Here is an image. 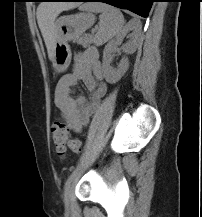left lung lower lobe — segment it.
<instances>
[{"instance_id": "0a47b994", "label": "left lung lower lobe", "mask_w": 202, "mask_h": 217, "mask_svg": "<svg viewBox=\"0 0 202 217\" xmlns=\"http://www.w3.org/2000/svg\"><path fill=\"white\" fill-rule=\"evenodd\" d=\"M42 1H71V2H103L112 6L128 9L142 17H147L155 0H42Z\"/></svg>"}]
</instances>
